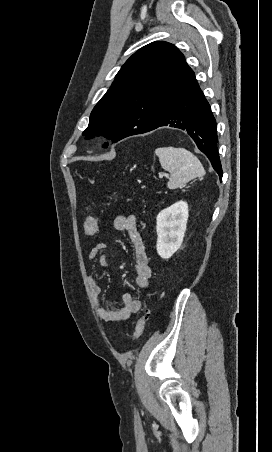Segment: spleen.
Returning <instances> with one entry per match:
<instances>
[{"instance_id": "3e777b00", "label": "spleen", "mask_w": 272, "mask_h": 452, "mask_svg": "<svg viewBox=\"0 0 272 452\" xmlns=\"http://www.w3.org/2000/svg\"><path fill=\"white\" fill-rule=\"evenodd\" d=\"M162 168L170 172L168 188L176 189L196 177H202L205 170L199 159L184 148L160 147L155 150Z\"/></svg>"}]
</instances>
